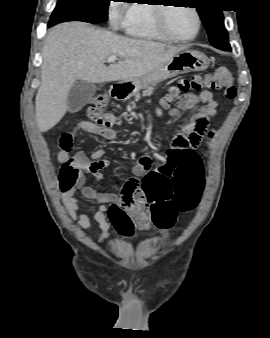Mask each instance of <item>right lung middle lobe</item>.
<instances>
[{
    "label": "right lung middle lobe",
    "mask_w": 270,
    "mask_h": 338,
    "mask_svg": "<svg viewBox=\"0 0 270 338\" xmlns=\"http://www.w3.org/2000/svg\"><path fill=\"white\" fill-rule=\"evenodd\" d=\"M110 0H58L49 26L66 21L101 23L108 19Z\"/></svg>",
    "instance_id": "obj_1"
}]
</instances>
